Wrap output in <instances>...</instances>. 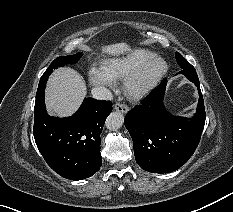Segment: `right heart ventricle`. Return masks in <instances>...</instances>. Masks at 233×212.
Masks as SVG:
<instances>
[{
	"label": "right heart ventricle",
	"mask_w": 233,
	"mask_h": 212,
	"mask_svg": "<svg viewBox=\"0 0 233 212\" xmlns=\"http://www.w3.org/2000/svg\"><path fill=\"white\" fill-rule=\"evenodd\" d=\"M153 56H155L154 52L143 48H137L124 56L107 59L103 64V69L114 80L123 79Z\"/></svg>",
	"instance_id": "e07e8e85"
}]
</instances>
